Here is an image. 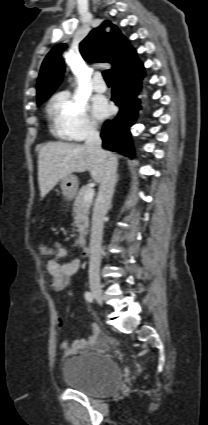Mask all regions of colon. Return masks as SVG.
Here are the masks:
<instances>
[{"label": "colon", "instance_id": "obj_1", "mask_svg": "<svg viewBox=\"0 0 208 425\" xmlns=\"http://www.w3.org/2000/svg\"><path fill=\"white\" fill-rule=\"evenodd\" d=\"M39 252H40V254H41L42 256H44V257H48V256L53 255L54 250H53L50 246H48V245H46V244H41V245L39 246Z\"/></svg>", "mask_w": 208, "mask_h": 425}]
</instances>
